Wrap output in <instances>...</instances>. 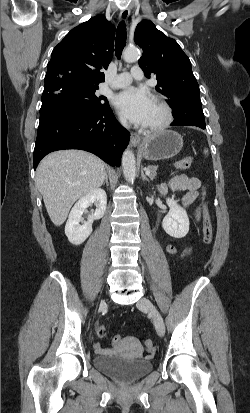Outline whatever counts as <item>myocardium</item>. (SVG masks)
<instances>
[{"instance_id":"obj_1","label":"myocardium","mask_w":250,"mask_h":413,"mask_svg":"<svg viewBox=\"0 0 250 413\" xmlns=\"http://www.w3.org/2000/svg\"><path fill=\"white\" fill-rule=\"evenodd\" d=\"M153 102L162 110L163 118L158 124L146 126L145 129L151 133H157L165 130L171 125L173 121V109L171 105L160 96H155Z\"/></svg>"}]
</instances>
